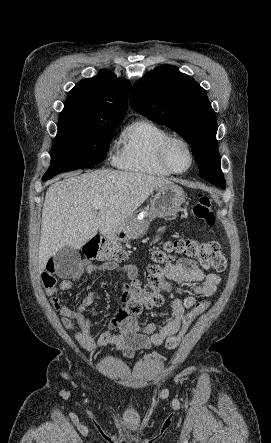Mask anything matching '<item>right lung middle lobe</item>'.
<instances>
[{"instance_id": "obj_1", "label": "right lung middle lobe", "mask_w": 271, "mask_h": 443, "mask_svg": "<svg viewBox=\"0 0 271 443\" xmlns=\"http://www.w3.org/2000/svg\"><path fill=\"white\" fill-rule=\"evenodd\" d=\"M123 117L87 118L62 111L46 175L82 169L102 162L113 132Z\"/></svg>"}]
</instances>
